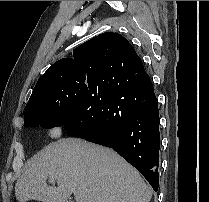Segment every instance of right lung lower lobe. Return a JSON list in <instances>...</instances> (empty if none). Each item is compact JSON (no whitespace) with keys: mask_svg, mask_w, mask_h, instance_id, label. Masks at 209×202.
I'll use <instances>...</instances> for the list:
<instances>
[{"mask_svg":"<svg viewBox=\"0 0 209 202\" xmlns=\"http://www.w3.org/2000/svg\"><path fill=\"white\" fill-rule=\"evenodd\" d=\"M89 90L80 111L65 122L75 137L113 148L159 187V110L153 84L140 58L125 71L105 72Z\"/></svg>","mask_w":209,"mask_h":202,"instance_id":"98d812e1","label":"right lung lower lobe"}]
</instances>
